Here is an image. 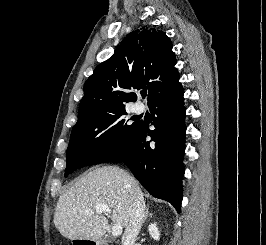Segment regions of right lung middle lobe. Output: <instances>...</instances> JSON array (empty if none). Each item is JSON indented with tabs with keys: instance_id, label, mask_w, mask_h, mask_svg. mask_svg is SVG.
<instances>
[{
	"instance_id": "dd1d6c3e",
	"label": "right lung middle lobe",
	"mask_w": 266,
	"mask_h": 245,
	"mask_svg": "<svg viewBox=\"0 0 266 245\" xmlns=\"http://www.w3.org/2000/svg\"><path fill=\"white\" fill-rule=\"evenodd\" d=\"M126 114L125 109H118L76 123L67 149L65 177L78 168L109 162L128 148L138 123L129 124Z\"/></svg>"
}]
</instances>
